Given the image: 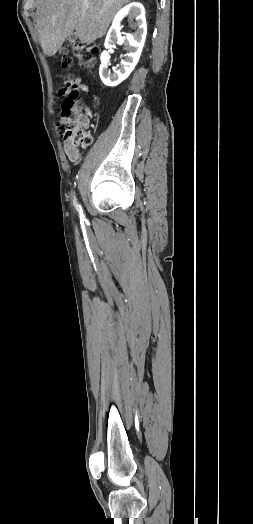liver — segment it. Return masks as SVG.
Wrapping results in <instances>:
<instances>
[{
	"instance_id": "obj_1",
	"label": "liver",
	"mask_w": 253,
	"mask_h": 524,
	"mask_svg": "<svg viewBox=\"0 0 253 524\" xmlns=\"http://www.w3.org/2000/svg\"><path fill=\"white\" fill-rule=\"evenodd\" d=\"M129 2L131 0H38L36 23L44 54L55 55L73 31L82 43H93L105 35L115 14Z\"/></svg>"
}]
</instances>
